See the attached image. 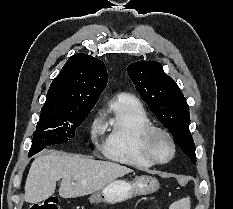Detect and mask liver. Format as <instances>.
<instances>
[{
    "label": "liver",
    "instance_id": "1",
    "mask_svg": "<svg viewBox=\"0 0 233 209\" xmlns=\"http://www.w3.org/2000/svg\"><path fill=\"white\" fill-rule=\"evenodd\" d=\"M131 172L132 169L110 161L50 152L32 162L25 182L24 199L31 204L42 202L54 194L56 182L60 179L59 195L62 198L89 195Z\"/></svg>",
    "mask_w": 233,
    "mask_h": 209
}]
</instances>
